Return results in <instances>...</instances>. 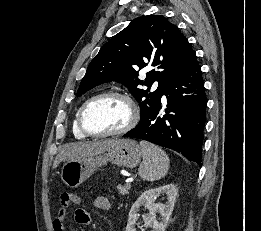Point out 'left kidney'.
<instances>
[{
  "instance_id": "obj_1",
  "label": "left kidney",
  "mask_w": 261,
  "mask_h": 231,
  "mask_svg": "<svg viewBox=\"0 0 261 231\" xmlns=\"http://www.w3.org/2000/svg\"><path fill=\"white\" fill-rule=\"evenodd\" d=\"M177 193L178 190L173 184L143 192L130 209L126 231H136L135 224L140 216L138 212L141 206L149 209V213L142 216L145 222L144 227L151 228V231H165L174 208ZM161 194L167 195V202L165 204L155 203L156 198ZM156 213L162 216L160 221H157Z\"/></svg>"
}]
</instances>
